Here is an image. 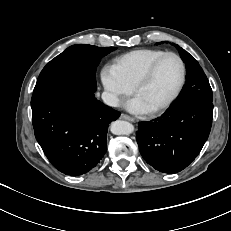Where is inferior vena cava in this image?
I'll list each match as a JSON object with an SVG mask.
<instances>
[{
    "label": "inferior vena cava",
    "instance_id": "602c4592",
    "mask_svg": "<svg viewBox=\"0 0 231 231\" xmlns=\"http://www.w3.org/2000/svg\"><path fill=\"white\" fill-rule=\"evenodd\" d=\"M102 100L106 105L117 107L119 105V99L112 93L103 92L102 93Z\"/></svg>",
    "mask_w": 231,
    "mask_h": 231
}]
</instances>
